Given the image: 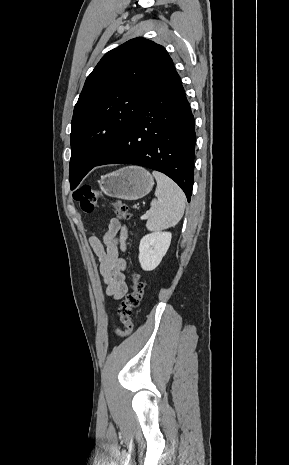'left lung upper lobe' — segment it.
Segmentation results:
<instances>
[{
    "label": "left lung upper lobe",
    "instance_id": "obj_1",
    "mask_svg": "<svg viewBox=\"0 0 289 465\" xmlns=\"http://www.w3.org/2000/svg\"><path fill=\"white\" fill-rule=\"evenodd\" d=\"M175 72L165 48L141 37L103 56L87 77L74 107L69 169L72 190L111 150L146 98Z\"/></svg>",
    "mask_w": 289,
    "mask_h": 465
}]
</instances>
